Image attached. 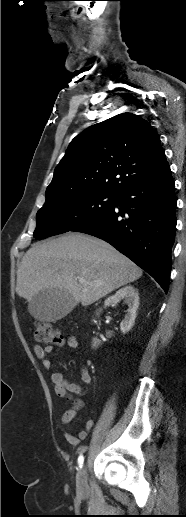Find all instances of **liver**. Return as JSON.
Returning a JSON list of instances; mask_svg holds the SVG:
<instances>
[{"instance_id":"1","label":"liver","mask_w":186,"mask_h":517,"mask_svg":"<svg viewBox=\"0 0 186 517\" xmlns=\"http://www.w3.org/2000/svg\"><path fill=\"white\" fill-rule=\"evenodd\" d=\"M142 269L107 242L80 233L33 244L17 271L16 292L30 302L47 289L87 306L142 276ZM86 283H80L78 278Z\"/></svg>"}]
</instances>
